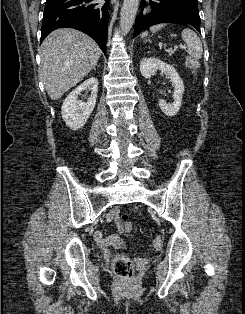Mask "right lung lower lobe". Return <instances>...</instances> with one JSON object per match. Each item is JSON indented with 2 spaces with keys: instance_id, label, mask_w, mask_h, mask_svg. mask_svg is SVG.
Segmentation results:
<instances>
[{
  "instance_id": "1",
  "label": "right lung lower lobe",
  "mask_w": 245,
  "mask_h": 314,
  "mask_svg": "<svg viewBox=\"0 0 245 314\" xmlns=\"http://www.w3.org/2000/svg\"><path fill=\"white\" fill-rule=\"evenodd\" d=\"M105 1L101 5L92 0H46L41 42L57 28H74L91 36L106 54L110 0Z\"/></svg>"
}]
</instances>
